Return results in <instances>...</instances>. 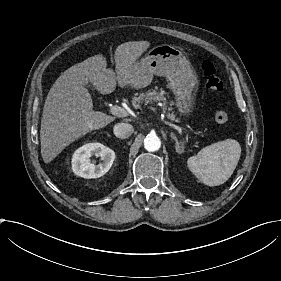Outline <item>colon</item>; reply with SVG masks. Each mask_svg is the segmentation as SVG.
I'll list each match as a JSON object with an SVG mask.
<instances>
[{"mask_svg":"<svg viewBox=\"0 0 281 281\" xmlns=\"http://www.w3.org/2000/svg\"><path fill=\"white\" fill-rule=\"evenodd\" d=\"M205 85L213 94H220L223 90V81L219 76L215 65L210 61H204L201 66ZM213 119L218 125H225L229 121V114L222 108H217L213 112Z\"/></svg>","mask_w":281,"mask_h":281,"instance_id":"5ec220e1","label":"colon"}]
</instances>
